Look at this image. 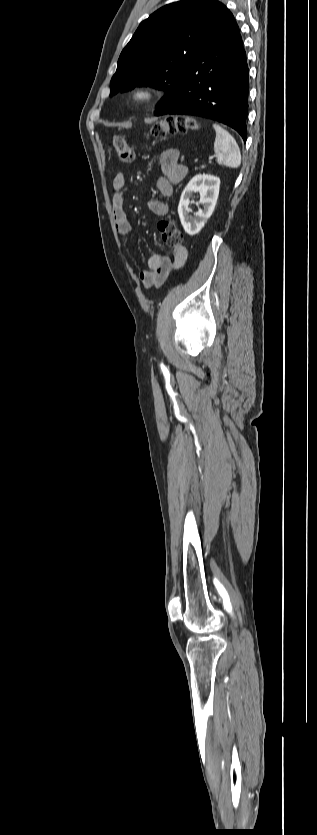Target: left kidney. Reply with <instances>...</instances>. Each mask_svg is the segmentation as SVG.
Here are the masks:
<instances>
[{
    "label": "left kidney",
    "mask_w": 317,
    "mask_h": 835,
    "mask_svg": "<svg viewBox=\"0 0 317 835\" xmlns=\"http://www.w3.org/2000/svg\"><path fill=\"white\" fill-rule=\"evenodd\" d=\"M219 187L220 179L218 177L198 174L190 180L183 190L178 205V214L184 230L189 235L197 234L212 215L217 203ZM196 192L200 194V200L197 204L201 205L202 208L193 217L189 214L192 212L189 205L195 203L191 198L194 197L193 193Z\"/></svg>",
    "instance_id": "obj_1"
}]
</instances>
